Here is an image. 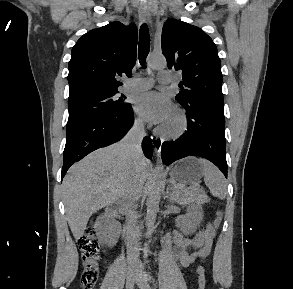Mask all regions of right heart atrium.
<instances>
[{
	"label": "right heart atrium",
	"mask_w": 293,
	"mask_h": 289,
	"mask_svg": "<svg viewBox=\"0 0 293 289\" xmlns=\"http://www.w3.org/2000/svg\"><path fill=\"white\" fill-rule=\"evenodd\" d=\"M133 126L136 129L141 130L143 128L144 124H143V121L140 118L136 117L134 119V121H133Z\"/></svg>",
	"instance_id": "obj_1"
}]
</instances>
